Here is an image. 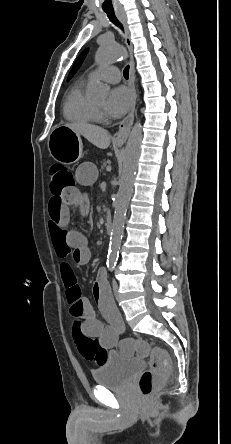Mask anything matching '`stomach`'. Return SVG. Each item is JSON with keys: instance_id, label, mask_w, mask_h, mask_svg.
Listing matches in <instances>:
<instances>
[{"instance_id": "1", "label": "stomach", "mask_w": 231, "mask_h": 444, "mask_svg": "<svg viewBox=\"0 0 231 444\" xmlns=\"http://www.w3.org/2000/svg\"><path fill=\"white\" fill-rule=\"evenodd\" d=\"M48 149L56 161L72 164L82 157L83 143L80 135L72 129L66 126H57L49 136Z\"/></svg>"}]
</instances>
